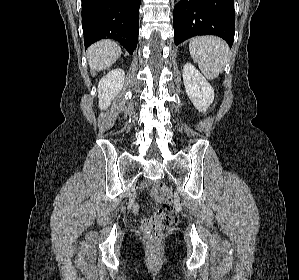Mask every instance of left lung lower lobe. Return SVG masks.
Masks as SVG:
<instances>
[{
  "mask_svg": "<svg viewBox=\"0 0 299 280\" xmlns=\"http://www.w3.org/2000/svg\"><path fill=\"white\" fill-rule=\"evenodd\" d=\"M174 42L197 35H216L231 47L235 33L234 0H181L173 15Z\"/></svg>",
  "mask_w": 299,
  "mask_h": 280,
  "instance_id": "left-lung-lower-lobe-1",
  "label": "left lung lower lobe"
}]
</instances>
